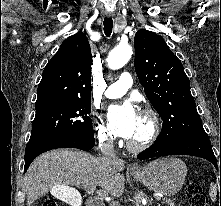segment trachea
Returning a JSON list of instances; mask_svg holds the SVG:
<instances>
[{"label": "trachea", "mask_w": 221, "mask_h": 206, "mask_svg": "<svg viewBox=\"0 0 221 206\" xmlns=\"http://www.w3.org/2000/svg\"><path fill=\"white\" fill-rule=\"evenodd\" d=\"M103 25H104V33H105V35L109 37L111 35V33H112V28H113V20H112V18L105 17L104 21H103Z\"/></svg>", "instance_id": "trachea-1"}]
</instances>
